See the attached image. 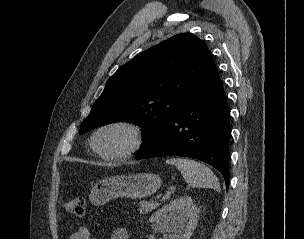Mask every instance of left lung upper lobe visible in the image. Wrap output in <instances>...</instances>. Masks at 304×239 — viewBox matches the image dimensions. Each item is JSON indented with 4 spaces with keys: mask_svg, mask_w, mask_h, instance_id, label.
I'll return each mask as SVG.
<instances>
[{
    "mask_svg": "<svg viewBox=\"0 0 304 239\" xmlns=\"http://www.w3.org/2000/svg\"><path fill=\"white\" fill-rule=\"evenodd\" d=\"M215 68L205 43L182 33L122 65L83 121L80 134L117 121L142 127L144 147L169 125Z\"/></svg>",
    "mask_w": 304,
    "mask_h": 239,
    "instance_id": "left-lung-upper-lobe-1",
    "label": "left lung upper lobe"
}]
</instances>
